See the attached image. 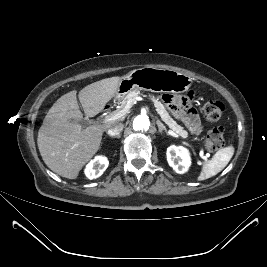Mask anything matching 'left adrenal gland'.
<instances>
[{"mask_svg":"<svg viewBox=\"0 0 267 267\" xmlns=\"http://www.w3.org/2000/svg\"><path fill=\"white\" fill-rule=\"evenodd\" d=\"M157 125H158L159 132L161 134L163 131H165L168 134L166 127L164 126V124L160 120H157Z\"/></svg>","mask_w":267,"mask_h":267,"instance_id":"1","label":"left adrenal gland"}]
</instances>
